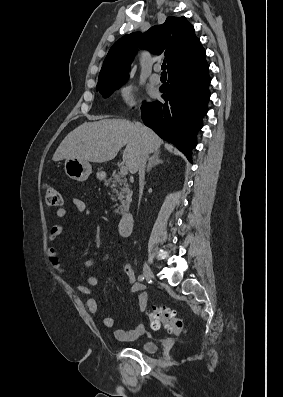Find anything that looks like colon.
<instances>
[{"mask_svg": "<svg viewBox=\"0 0 283 397\" xmlns=\"http://www.w3.org/2000/svg\"><path fill=\"white\" fill-rule=\"evenodd\" d=\"M45 202L49 207H59L62 198L59 191L50 184L43 187ZM150 325L153 329L164 326L169 331L180 334L185 331V323L178 318L173 310L165 306H154L149 313Z\"/></svg>", "mask_w": 283, "mask_h": 397, "instance_id": "5ec220e1", "label": "colon"}]
</instances>
